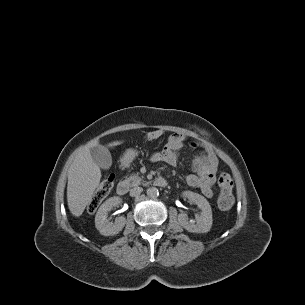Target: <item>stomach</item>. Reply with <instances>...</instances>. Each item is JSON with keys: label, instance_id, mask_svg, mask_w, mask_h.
I'll return each mask as SVG.
<instances>
[{"label": "stomach", "instance_id": "obj_1", "mask_svg": "<svg viewBox=\"0 0 305 305\" xmlns=\"http://www.w3.org/2000/svg\"><path fill=\"white\" fill-rule=\"evenodd\" d=\"M138 152L135 149H127L120 159V162L124 166H128L136 157Z\"/></svg>", "mask_w": 305, "mask_h": 305}]
</instances>
